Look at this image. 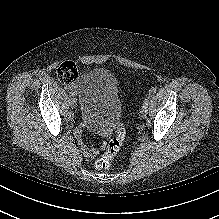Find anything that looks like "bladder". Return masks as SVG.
<instances>
[{
	"label": "bladder",
	"mask_w": 219,
	"mask_h": 219,
	"mask_svg": "<svg viewBox=\"0 0 219 219\" xmlns=\"http://www.w3.org/2000/svg\"><path fill=\"white\" fill-rule=\"evenodd\" d=\"M77 93L86 122L111 129L120 119L123 107L115 76L106 69L86 71L79 79Z\"/></svg>",
	"instance_id": "31cf9c89"
}]
</instances>
